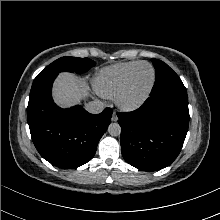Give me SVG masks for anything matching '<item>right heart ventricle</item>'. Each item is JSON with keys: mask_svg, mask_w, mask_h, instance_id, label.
Instances as JSON below:
<instances>
[{"mask_svg": "<svg viewBox=\"0 0 220 220\" xmlns=\"http://www.w3.org/2000/svg\"><path fill=\"white\" fill-rule=\"evenodd\" d=\"M139 62H123L103 68L94 77L95 90L106 98L116 97L129 72Z\"/></svg>", "mask_w": 220, "mask_h": 220, "instance_id": "1", "label": "right heart ventricle"}]
</instances>
